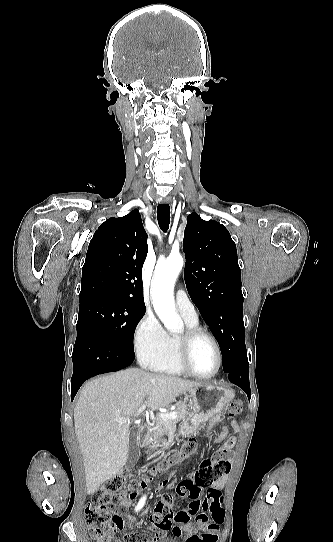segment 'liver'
Here are the masks:
<instances>
[{"instance_id":"liver-1","label":"liver","mask_w":333,"mask_h":542,"mask_svg":"<svg viewBox=\"0 0 333 542\" xmlns=\"http://www.w3.org/2000/svg\"><path fill=\"white\" fill-rule=\"evenodd\" d=\"M197 386L200 382L139 368L99 376L85 384L74 408V426L88 496L119 474L127 462L130 424L115 422L116 418H132L143 404L150 410L166 408Z\"/></svg>"}]
</instances>
